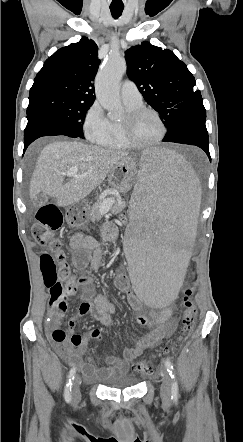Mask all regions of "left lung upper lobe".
I'll return each instance as SVG.
<instances>
[{
	"label": "left lung upper lobe",
	"instance_id": "1",
	"mask_svg": "<svg viewBox=\"0 0 243 442\" xmlns=\"http://www.w3.org/2000/svg\"><path fill=\"white\" fill-rule=\"evenodd\" d=\"M127 73L171 135L187 118L206 113L187 66L168 49L142 42L125 52Z\"/></svg>",
	"mask_w": 243,
	"mask_h": 442
}]
</instances>
